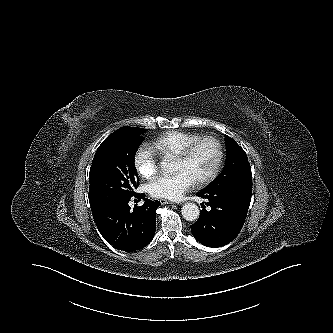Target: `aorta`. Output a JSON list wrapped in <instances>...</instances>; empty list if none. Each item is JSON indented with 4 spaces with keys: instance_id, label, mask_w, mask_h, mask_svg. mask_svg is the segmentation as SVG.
<instances>
[{
    "instance_id": "1",
    "label": "aorta",
    "mask_w": 333,
    "mask_h": 333,
    "mask_svg": "<svg viewBox=\"0 0 333 333\" xmlns=\"http://www.w3.org/2000/svg\"><path fill=\"white\" fill-rule=\"evenodd\" d=\"M161 168L168 171L170 169V163L162 161ZM181 213L183 218L187 221H195L200 215L199 207L194 203H185L181 209Z\"/></svg>"
}]
</instances>
